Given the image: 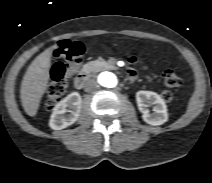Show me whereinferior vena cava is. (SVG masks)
Returning <instances> with one entry per match:
<instances>
[{
	"label": "inferior vena cava",
	"mask_w": 212,
	"mask_h": 183,
	"mask_svg": "<svg viewBox=\"0 0 212 183\" xmlns=\"http://www.w3.org/2000/svg\"><path fill=\"white\" fill-rule=\"evenodd\" d=\"M98 88V83L95 79H89L85 84V91L91 92Z\"/></svg>",
	"instance_id": "602c4592"
}]
</instances>
